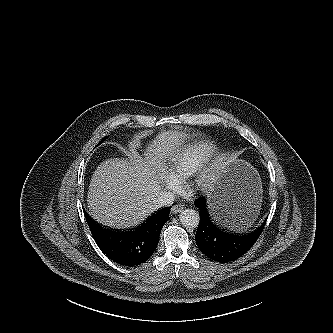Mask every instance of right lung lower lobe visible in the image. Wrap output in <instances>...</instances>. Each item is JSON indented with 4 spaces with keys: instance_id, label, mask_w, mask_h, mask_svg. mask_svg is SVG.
Listing matches in <instances>:
<instances>
[{
    "instance_id": "98d812e1",
    "label": "right lung lower lobe",
    "mask_w": 333,
    "mask_h": 333,
    "mask_svg": "<svg viewBox=\"0 0 333 333\" xmlns=\"http://www.w3.org/2000/svg\"><path fill=\"white\" fill-rule=\"evenodd\" d=\"M83 211L93 238L102 252L120 265L136 266L146 262L154 253L161 230L169 220L170 208H162L138 228L123 232L102 227Z\"/></svg>"
}]
</instances>
